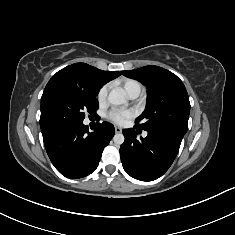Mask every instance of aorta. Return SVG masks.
Returning a JSON list of instances; mask_svg holds the SVG:
<instances>
[{
  "mask_svg": "<svg viewBox=\"0 0 235 235\" xmlns=\"http://www.w3.org/2000/svg\"><path fill=\"white\" fill-rule=\"evenodd\" d=\"M108 101L110 104L115 105V106L127 103L125 93L122 89L111 90V92L108 95ZM124 140L125 138L122 133H117L113 137V141L117 145L123 144Z\"/></svg>",
  "mask_w": 235,
  "mask_h": 235,
  "instance_id": "762f6f07",
  "label": "aorta"
}]
</instances>
